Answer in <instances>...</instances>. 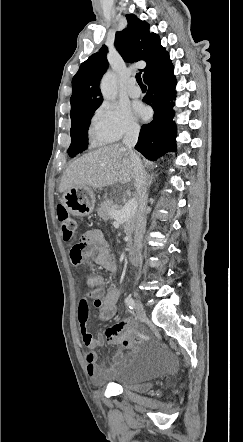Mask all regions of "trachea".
Masks as SVG:
<instances>
[{"mask_svg": "<svg viewBox=\"0 0 243 442\" xmlns=\"http://www.w3.org/2000/svg\"><path fill=\"white\" fill-rule=\"evenodd\" d=\"M136 81H137V83L139 85H143V81H142V78H141V73H137L136 74Z\"/></svg>", "mask_w": 243, "mask_h": 442, "instance_id": "obj_1", "label": "trachea"}]
</instances>
